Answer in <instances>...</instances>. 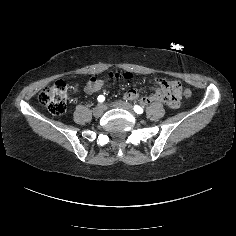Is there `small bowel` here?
I'll list each match as a JSON object with an SVG mask.
<instances>
[{
  "label": "small bowel",
  "mask_w": 236,
  "mask_h": 236,
  "mask_svg": "<svg viewBox=\"0 0 236 236\" xmlns=\"http://www.w3.org/2000/svg\"><path fill=\"white\" fill-rule=\"evenodd\" d=\"M158 82L161 84V83H165V81L163 80H158ZM105 86V81L102 80V79H91L88 84L86 85L85 87V91L86 93L88 94H92V93H95L99 90H101L103 87ZM177 88V87H176ZM138 96V93L136 90L132 89V90H129L127 93H126V97L128 99H135L136 97Z\"/></svg>",
  "instance_id": "small-bowel-1"
}]
</instances>
